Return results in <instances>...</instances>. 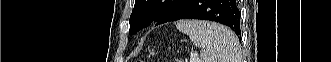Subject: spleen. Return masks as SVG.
Wrapping results in <instances>:
<instances>
[{
    "mask_svg": "<svg viewBox=\"0 0 331 62\" xmlns=\"http://www.w3.org/2000/svg\"><path fill=\"white\" fill-rule=\"evenodd\" d=\"M176 28L201 48L198 62H241L238 39L227 27L209 21L180 20Z\"/></svg>",
    "mask_w": 331,
    "mask_h": 62,
    "instance_id": "obj_1",
    "label": "spleen"
}]
</instances>
